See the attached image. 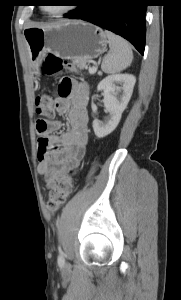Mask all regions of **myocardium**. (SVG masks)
Listing matches in <instances>:
<instances>
[{"label":"myocardium","mask_w":181,"mask_h":300,"mask_svg":"<svg viewBox=\"0 0 181 300\" xmlns=\"http://www.w3.org/2000/svg\"><path fill=\"white\" fill-rule=\"evenodd\" d=\"M75 8L74 5L72 4H68L66 5V7L64 9H62L61 11L57 12V13H49L46 11L45 7L42 6L41 7V10L48 16L50 17H54V18H58V17H63V16H66L68 15L69 13L72 12V10Z\"/></svg>","instance_id":"f54148a6"}]
</instances>
